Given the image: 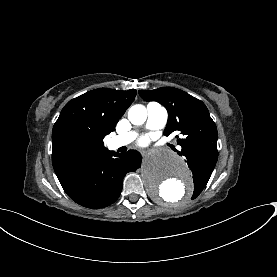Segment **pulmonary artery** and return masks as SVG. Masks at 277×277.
I'll return each mask as SVG.
<instances>
[{"instance_id": "obj_1", "label": "pulmonary artery", "mask_w": 277, "mask_h": 277, "mask_svg": "<svg viewBox=\"0 0 277 277\" xmlns=\"http://www.w3.org/2000/svg\"><path fill=\"white\" fill-rule=\"evenodd\" d=\"M143 111L146 117L145 127L147 129L159 130L166 125L168 112L164 107L158 104L150 103L143 108ZM136 136L137 133L134 131L119 135L111 141V145L115 148L129 145L134 141Z\"/></svg>"}]
</instances>
